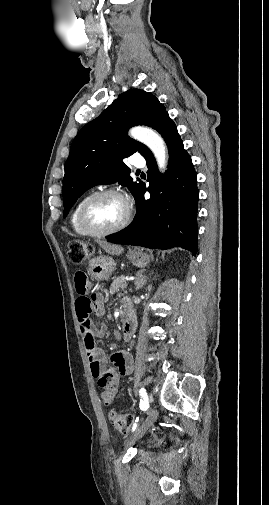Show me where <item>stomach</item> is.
Segmentation results:
<instances>
[{"label":"stomach","instance_id":"stomach-1","mask_svg":"<svg viewBox=\"0 0 269 505\" xmlns=\"http://www.w3.org/2000/svg\"><path fill=\"white\" fill-rule=\"evenodd\" d=\"M130 262L137 267H145L150 262L151 255L142 249H133L127 254ZM115 261L108 256H99L90 260L88 273L96 281L108 280L115 270Z\"/></svg>","mask_w":269,"mask_h":505}]
</instances>
